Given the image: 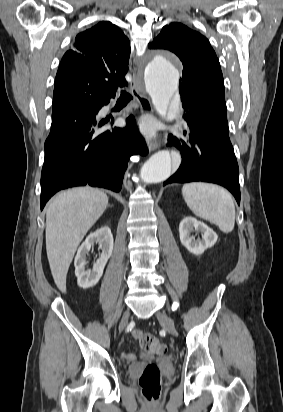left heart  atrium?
Listing matches in <instances>:
<instances>
[{"instance_id":"left-heart-atrium-1","label":"left heart atrium","mask_w":283,"mask_h":412,"mask_svg":"<svg viewBox=\"0 0 283 412\" xmlns=\"http://www.w3.org/2000/svg\"><path fill=\"white\" fill-rule=\"evenodd\" d=\"M138 129L144 136L151 137L154 133L155 126L152 120L144 118L140 121Z\"/></svg>"}]
</instances>
